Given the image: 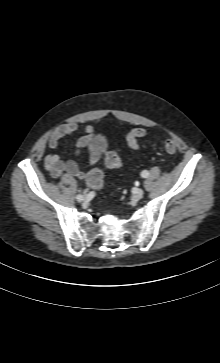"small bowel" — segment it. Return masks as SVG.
<instances>
[{
    "label": "small bowel",
    "instance_id": "small-bowel-1",
    "mask_svg": "<svg viewBox=\"0 0 220 363\" xmlns=\"http://www.w3.org/2000/svg\"><path fill=\"white\" fill-rule=\"evenodd\" d=\"M78 132L76 123H67L56 128L49 137L48 147L50 152L45 157V169L52 178H58L62 174H68L78 179H86L87 172L80 169L79 165L74 160H62L54 150L58 147L60 140L67 136L74 135ZM94 138V127L88 125L83 129V135L77 143L76 154L80 149L85 147ZM102 158V153L95 150L89 159V167L95 166Z\"/></svg>",
    "mask_w": 220,
    "mask_h": 363
}]
</instances>
